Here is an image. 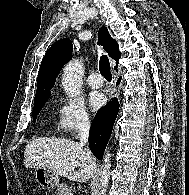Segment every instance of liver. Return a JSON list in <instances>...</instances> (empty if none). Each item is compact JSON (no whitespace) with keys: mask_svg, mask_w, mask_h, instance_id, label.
Instances as JSON below:
<instances>
[{"mask_svg":"<svg viewBox=\"0 0 189 195\" xmlns=\"http://www.w3.org/2000/svg\"><path fill=\"white\" fill-rule=\"evenodd\" d=\"M26 168L46 167L71 181L85 182L96 171V159L80 143L68 139L40 137L25 147ZM79 170L75 171V168Z\"/></svg>","mask_w":189,"mask_h":195,"instance_id":"liver-1","label":"liver"}]
</instances>
